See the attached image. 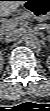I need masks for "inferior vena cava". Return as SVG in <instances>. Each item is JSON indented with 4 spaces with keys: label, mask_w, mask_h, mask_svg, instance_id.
Listing matches in <instances>:
<instances>
[{
    "label": "inferior vena cava",
    "mask_w": 50,
    "mask_h": 111,
    "mask_svg": "<svg viewBox=\"0 0 50 111\" xmlns=\"http://www.w3.org/2000/svg\"><path fill=\"white\" fill-rule=\"evenodd\" d=\"M21 36V33L19 30H11L4 34L3 39L5 42H11L16 39H18Z\"/></svg>",
    "instance_id": "obj_1"
}]
</instances>
